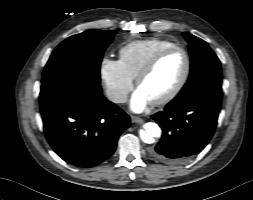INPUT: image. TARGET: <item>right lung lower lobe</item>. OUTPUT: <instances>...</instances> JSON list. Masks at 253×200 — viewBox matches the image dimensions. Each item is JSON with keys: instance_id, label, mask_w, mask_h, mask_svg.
<instances>
[{"instance_id": "1", "label": "right lung lower lobe", "mask_w": 253, "mask_h": 200, "mask_svg": "<svg viewBox=\"0 0 253 200\" xmlns=\"http://www.w3.org/2000/svg\"><path fill=\"white\" fill-rule=\"evenodd\" d=\"M44 133L53 150L79 167L98 165L115 151L130 117L108 101L100 85L65 79L41 85Z\"/></svg>"}]
</instances>
